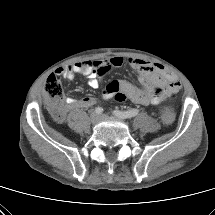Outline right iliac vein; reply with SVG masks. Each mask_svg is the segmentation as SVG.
Masks as SVG:
<instances>
[{
	"mask_svg": "<svg viewBox=\"0 0 215 215\" xmlns=\"http://www.w3.org/2000/svg\"><path fill=\"white\" fill-rule=\"evenodd\" d=\"M90 119L93 124H97L100 121V116L96 113H91Z\"/></svg>",
	"mask_w": 215,
	"mask_h": 215,
	"instance_id": "right-iliac-vein-1",
	"label": "right iliac vein"
}]
</instances>
